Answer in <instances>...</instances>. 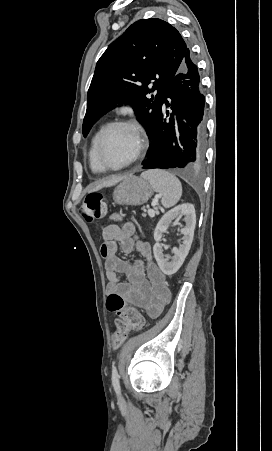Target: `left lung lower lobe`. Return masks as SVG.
Returning <instances> with one entry per match:
<instances>
[{"label":"left lung lower lobe","mask_w":272,"mask_h":451,"mask_svg":"<svg viewBox=\"0 0 272 451\" xmlns=\"http://www.w3.org/2000/svg\"><path fill=\"white\" fill-rule=\"evenodd\" d=\"M167 98L170 99L168 102ZM197 65L187 48L162 100L144 169H194L204 161L205 102ZM165 106L166 109L165 110ZM174 111L169 115V110Z\"/></svg>","instance_id":"left-lung-lower-lobe-1"}]
</instances>
